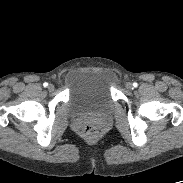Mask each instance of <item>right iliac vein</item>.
Segmentation results:
<instances>
[{"label": "right iliac vein", "instance_id": "right-iliac-vein-1", "mask_svg": "<svg viewBox=\"0 0 183 183\" xmlns=\"http://www.w3.org/2000/svg\"><path fill=\"white\" fill-rule=\"evenodd\" d=\"M54 88H55V87H54V85H53V84H49V85H48V90H49V91H53V90H54Z\"/></svg>", "mask_w": 183, "mask_h": 183}]
</instances>
